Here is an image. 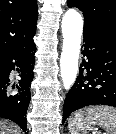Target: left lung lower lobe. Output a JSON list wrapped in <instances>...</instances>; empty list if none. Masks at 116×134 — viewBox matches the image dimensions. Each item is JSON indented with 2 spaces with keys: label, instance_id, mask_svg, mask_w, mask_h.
<instances>
[{
  "label": "left lung lower lobe",
  "instance_id": "left-lung-lower-lobe-1",
  "mask_svg": "<svg viewBox=\"0 0 116 134\" xmlns=\"http://www.w3.org/2000/svg\"><path fill=\"white\" fill-rule=\"evenodd\" d=\"M84 56L79 76L69 90L63 108L62 123L83 107H116V34L104 30H83Z\"/></svg>",
  "mask_w": 116,
  "mask_h": 134
}]
</instances>
